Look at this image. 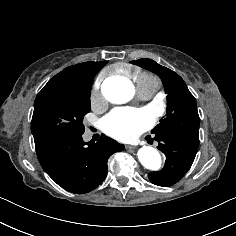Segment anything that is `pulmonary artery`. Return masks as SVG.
<instances>
[{
    "mask_svg": "<svg viewBox=\"0 0 236 236\" xmlns=\"http://www.w3.org/2000/svg\"><path fill=\"white\" fill-rule=\"evenodd\" d=\"M155 91L153 90H145V89H138L137 94L143 99H149Z\"/></svg>",
    "mask_w": 236,
    "mask_h": 236,
    "instance_id": "1",
    "label": "pulmonary artery"
}]
</instances>
